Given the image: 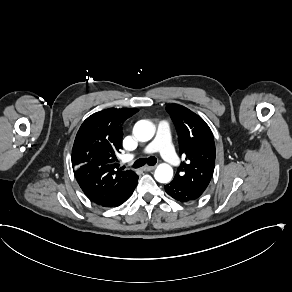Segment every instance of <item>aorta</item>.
Returning a JSON list of instances; mask_svg holds the SVG:
<instances>
[{"label": "aorta", "mask_w": 292, "mask_h": 292, "mask_svg": "<svg viewBox=\"0 0 292 292\" xmlns=\"http://www.w3.org/2000/svg\"><path fill=\"white\" fill-rule=\"evenodd\" d=\"M133 132L140 141H148L153 137L155 130L151 122L140 120L135 124ZM154 177L160 183H168L173 177V169L169 164H159Z\"/></svg>", "instance_id": "obj_1"}]
</instances>
